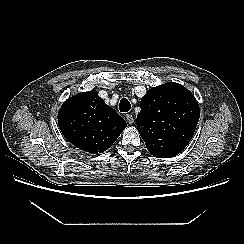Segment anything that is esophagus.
Wrapping results in <instances>:
<instances>
[{
    "instance_id": "34e87169",
    "label": "esophagus",
    "mask_w": 244,
    "mask_h": 244,
    "mask_svg": "<svg viewBox=\"0 0 244 244\" xmlns=\"http://www.w3.org/2000/svg\"><path fill=\"white\" fill-rule=\"evenodd\" d=\"M126 120L129 124H133L134 123V117L131 114H127L126 115Z\"/></svg>"
}]
</instances>
